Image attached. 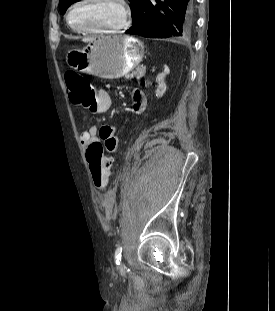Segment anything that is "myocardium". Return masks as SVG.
I'll return each instance as SVG.
<instances>
[{
    "mask_svg": "<svg viewBox=\"0 0 275 311\" xmlns=\"http://www.w3.org/2000/svg\"><path fill=\"white\" fill-rule=\"evenodd\" d=\"M86 1L87 0H76L69 6V8L66 11L65 20H66L67 25L72 30L76 32H82V33L104 34V33L118 32L122 30L123 28H125L126 25L128 24L129 17H130V9L126 3V0H111L119 6L120 12H121L120 20L116 24L110 25V26L96 27V28H84V27H76L72 25V23L70 22V14L72 10L79 4L86 2Z\"/></svg>",
    "mask_w": 275,
    "mask_h": 311,
    "instance_id": "myocardium-1",
    "label": "myocardium"
}]
</instances>
